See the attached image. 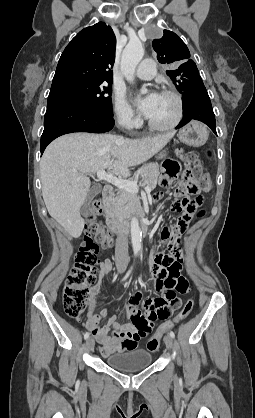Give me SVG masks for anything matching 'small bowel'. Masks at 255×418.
Wrapping results in <instances>:
<instances>
[{
  "instance_id": "obj_1",
  "label": "small bowel",
  "mask_w": 255,
  "mask_h": 418,
  "mask_svg": "<svg viewBox=\"0 0 255 418\" xmlns=\"http://www.w3.org/2000/svg\"><path fill=\"white\" fill-rule=\"evenodd\" d=\"M176 160L187 161L185 149H176ZM179 171L176 161H167L163 165L161 181L164 185L172 182ZM183 187L177 193L182 194ZM174 205V210H175ZM189 222L182 218L175 228L163 227L160 237H154V250L150 259V276L154 289L161 292L158 297L146 298L143 301L145 312L136 308L141 300V294H135L129 304L125 305V312L131 315L132 322H120L116 316L107 319L106 324L99 325L100 319L106 318V311L97 313L98 293L100 284L95 286L90 295L89 314L86 327L91 330L100 346L102 356L107 357L114 353L128 352L138 346L140 339L144 338L158 320H171L176 311L183 308L184 297H187L191 287L188 277L182 276L181 248L183 243L180 236L187 229ZM113 269L112 259H105L100 267V277L108 275ZM163 327V325L161 326Z\"/></svg>"
}]
</instances>
